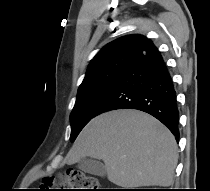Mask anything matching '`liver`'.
Instances as JSON below:
<instances>
[{
    "label": "liver",
    "mask_w": 210,
    "mask_h": 191,
    "mask_svg": "<svg viewBox=\"0 0 210 191\" xmlns=\"http://www.w3.org/2000/svg\"><path fill=\"white\" fill-rule=\"evenodd\" d=\"M87 156L102 159L109 181L127 188L170 186L178 162L171 132L154 117L132 109L106 112L85 126L66 162L72 165Z\"/></svg>",
    "instance_id": "liver-1"
}]
</instances>
